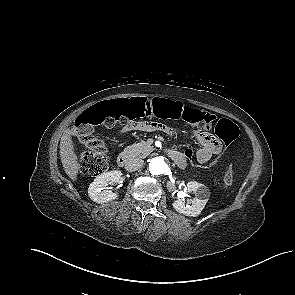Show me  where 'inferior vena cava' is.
<instances>
[{"label":"inferior vena cava","mask_w":295,"mask_h":295,"mask_svg":"<svg viewBox=\"0 0 295 295\" xmlns=\"http://www.w3.org/2000/svg\"><path fill=\"white\" fill-rule=\"evenodd\" d=\"M143 165V160L139 159V158H130L126 164H125V169L127 171H136L139 168H141V166Z\"/></svg>","instance_id":"1"}]
</instances>
